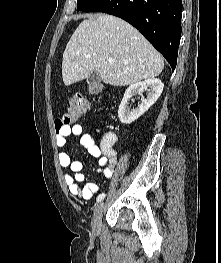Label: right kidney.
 Returning a JSON list of instances; mask_svg holds the SVG:
<instances>
[{
    "mask_svg": "<svg viewBox=\"0 0 221 263\" xmlns=\"http://www.w3.org/2000/svg\"><path fill=\"white\" fill-rule=\"evenodd\" d=\"M164 84L160 79L152 78L130 85L124 94L118 110V117L123 124H131L144 114L160 97ZM147 98L141 96V103L136 109L130 110L128 104L132 96L148 90Z\"/></svg>",
    "mask_w": 221,
    "mask_h": 263,
    "instance_id": "1",
    "label": "right kidney"
}]
</instances>
